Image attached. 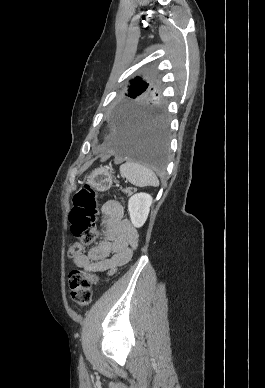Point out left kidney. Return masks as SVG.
<instances>
[{
    "label": "left kidney",
    "instance_id": "1",
    "mask_svg": "<svg viewBox=\"0 0 265 388\" xmlns=\"http://www.w3.org/2000/svg\"><path fill=\"white\" fill-rule=\"evenodd\" d=\"M151 204L152 198L149 194H134V196H131L128 202V210L130 220L135 228H141L145 224Z\"/></svg>",
    "mask_w": 265,
    "mask_h": 388
}]
</instances>
